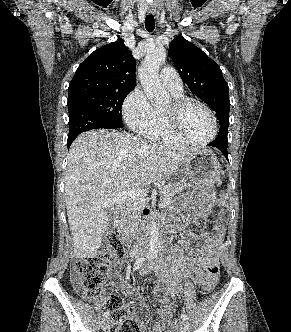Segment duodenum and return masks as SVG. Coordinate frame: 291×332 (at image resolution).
I'll return each instance as SVG.
<instances>
[{"label": "duodenum", "instance_id": "410a0bca", "mask_svg": "<svg viewBox=\"0 0 291 332\" xmlns=\"http://www.w3.org/2000/svg\"><path fill=\"white\" fill-rule=\"evenodd\" d=\"M155 225L157 227H161L162 226V224L160 222H156ZM123 238L127 242L128 245H133L135 243V241H136L135 237L131 236L129 234H123ZM139 246L142 247V248H145V245L142 244V243H139Z\"/></svg>", "mask_w": 291, "mask_h": 332}]
</instances>
